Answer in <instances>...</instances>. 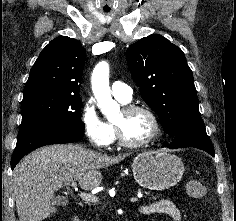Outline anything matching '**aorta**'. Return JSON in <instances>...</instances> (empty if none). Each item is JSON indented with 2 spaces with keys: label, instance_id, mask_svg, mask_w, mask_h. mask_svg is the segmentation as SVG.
<instances>
[{
  "label": "aorta",
  "instance_id": "1",
  "mask_svg": "<svg viewBox=\"0 0 236 221\" xmlns=\"http://www.w3.org/2000/svg\"><path fill=\"white\" fill-rule=\"evenodd\" d=\"M101 65L104 69V75L101 82L94 88V94L101 112L108 118H116L121 115L120 106L111 97L108 79V65L106 63H102Z\"/></svg>",
  "mask_w": 236,
  "mask_h": 221
}]
</instances>
